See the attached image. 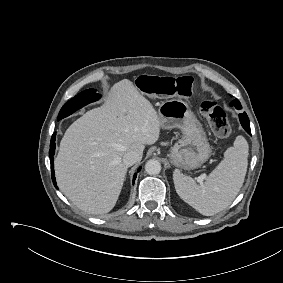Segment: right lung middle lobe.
Masks as SVG:
<instances>
[{
	"label": "right lung middle lobe",
	"instance_id": "dd1d6c3e",
	"mask_svg": "<svg viewBox=\"0 0 283 283\" xmlns=\"http://www.w3.org/2000/svg\"><path fill=\"white\" fill-rule=\"evenodd\" d=\"M99 97L100 95L96 93L95 89H88L79 93L62 107L58 115V120L63 119L81 107L98 100Z\"/></svg>",
	"mask_w": 283,
	"mask_h": 283
}]
</instances>
